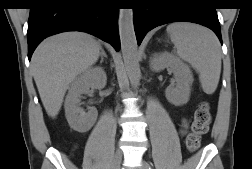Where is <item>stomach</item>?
<instances>
[{
	"instance_id": "obj_1",
	"label": "stomach",
	"mask_w": 252,
	"mask_h": 169,
	"mask_svg": "<svg viewBox=\"0 0 252 169\" xmlns=\"http://www.w3.org/2000/svg\"><path fill=\"white\" fill-rule=\"evenodd\" d=\"M167 34H168V38H170L171 40H175V33L173 29H169Z\"/></svg>"
}]
</instances>
